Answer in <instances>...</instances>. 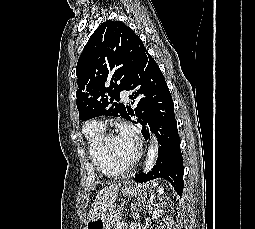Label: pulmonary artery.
I'll return each instance as SVG.
<instances>
[{
  "label": "pulmonary artery",
  "instance_id": "pulmonary-artery-1",
  "mask_svg": "<svg viewBox=\"0 0 255 229\" xmlns=\"http://www.w3.org/2000/svg\"><path fill=\"white\" fill-rule=\"evenodd\" d=\"M121 97H122V100H123L124 102H128V101H129V94H128L127 91L123 90V91L121 92ZM92 124H93L94 126H98V127L103 128V123H102V122H99V121H92Z\"/></svg>",
  "mask_w": 255,
  "mask_h": 229
}]
</instances>
